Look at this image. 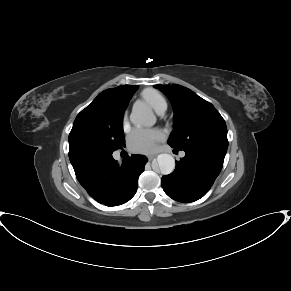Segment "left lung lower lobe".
<instances>
[{
    "mask_svg": "<svg viewBox=\"0 0 291 291\" xmlns=\"http://www.w3.org/2000/svg\"><path fill=\"white\" fill-rule=\"evenodd\" d=\"M176 161V169L163 176L161 185L172 199L189 203L203 197L219 175L227 149L190 147Z\"/></svg>",
    "mask_w": 291,
    "mask_h": 291,
    "instance_id": "1",
    "label": "left lung lower lobe"
}]
</instances>
